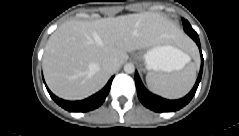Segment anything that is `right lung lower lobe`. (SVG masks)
Listing matches in <instances>:
<instances>
[{
    "mask_svg": "<svg viewBox=\"0 0 239 136\" xmlns=\"http://www.w3.org/2000/svg\"><path fill=\"white\" fill-rule=\"evenodd\" d=\"M112 80L113 77L108 81V83L102 90L81 101H66L60 99L48 89L46 84L45 85L52 99L62 108L70 112H86L98 108L104 102L106 96L110 91Z\"/></svg>",
    "mask_w": 239,
    "mask_h": 136,
    "instance_id": "98d812e1",
    "label": "right lung lower lobe"
}]
</instances>
